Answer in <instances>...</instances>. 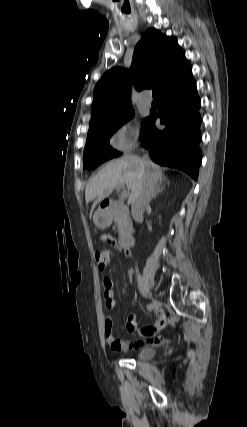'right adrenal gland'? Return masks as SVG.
<instances>
[{"label": "right adrenal gland", "instance_id": "right-adrenal-gland-1", "mask_svg": "<svg viewBox=\"0 0 247 427\" xmlns=\"http://www.w3.org/2000/svg\"><path fill=\"white\" fill-rule=\"evenodd\" d=\"M164 189H165V183H164V184L159 183V184L157 185V189H156V191H155L154 195L152 196V199L156 198V196H157L159 193H161Z\"/></svg>", "mask_w": 247, "mask_h": 427}]
</instances>
